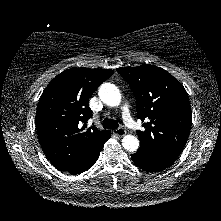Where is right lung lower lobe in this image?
<instances>
[{
    "mask_svg": "<svg viewBox=\"0 0 221 221\" xmlns=\"http://www.w3.org/2000/svg\"><path fill=\"white\" fill-rule=\"evenodd\" d=\"M110 136L111 133L110 131H108L103 139L98 144H96L82 159L77 161L73 166L65 171L71 174H79L92 167L97 161L100 151L102 150L105 142L110 138Z\"/></svg>",
    "mask_w": 221,
    "mask_h": 221,
    "instance_id": "obj_1",
    "label": "right lung lower lobe"
}]
</instances>
